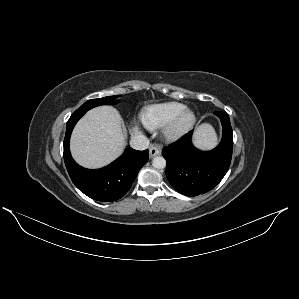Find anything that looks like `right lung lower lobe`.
I'll return each mask as SVG.
<instances>
[{
  "label": "right lung lower lobe",
  "instance_id": "1",
  "mask_svg": "<svg viewBox=\"0 0 299 299\" xmlns=\"http://www.w3.org/2000/svg\"><path fill=\"white\" fill-rule=\"evenodd\" d=\"M86 112H74L67 122L64 139V161L75 186L88 197L110 202L123 197L130 189L139 170L148 161V149L137 151L127 147L123 155L108 166L91 170L79 166L71 157L69 141L77 121Z\"/></svg>",
  "mask_w": 299,
  "mask_h": 299
}]
</instances>
